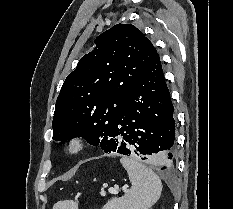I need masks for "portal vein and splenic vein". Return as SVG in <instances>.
Wrapping results in <instances>:
<instances>
[{"label":"portal vein and splenic vein","instance_id":"portal-vein-and-splenic-vein-1","mask_svg":"<svg viewBox=\"0 0 233 209\" xmlns=\"http://www.w3.org/2000/svg\"><path fill=\"white\" fill-rule=\"evenodd\" d=\"M108 191H109V193H111V194H118L119 189H118L117 187H115V188H109ZM123 191H124V192H127V188H124ZM101 195L104 196V195H105V192H101Z\"/></svg>","mask_w":233,"mask_h":209}]
</instances>
